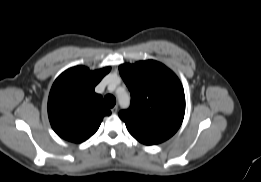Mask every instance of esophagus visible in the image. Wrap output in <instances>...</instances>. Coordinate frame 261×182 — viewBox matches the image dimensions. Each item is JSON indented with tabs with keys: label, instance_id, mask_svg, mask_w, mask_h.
<instances>
[{
	"label": "esophagus",
	"instance_id": "1",
	"mask_svg": "<svg viewBox=\"0 0 261 182\" xmlns=\"http://www.w3.org/2000/svg\"><path fill=\"white\" fill-rule=\"evenodd\" d=\"M111 111H112L113 114L117 113V111H118V106H117V105L114 106V107L111 109Z\"/></svg>",
	"mask_w": 261,
	"mask_h": 182
}]
</instances>
